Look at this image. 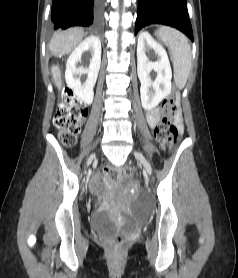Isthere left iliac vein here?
<instances>
[{
    "instance_id": "4c4485c4",
    "label": "left iliac vein",
    "mask_w": 238,
    "mask_h": 278,
    "mask_svg": "<svg viewBox=\"0 0 238 278\" xmlns=\"http://www.w3.org/2000/svg\"><path fill=\"white\" fill-rule=\"evenodd\" d=\"M135 157L142 163L146 172L151 175L152 174V167L149 161L145 158V156L140 152H135Z\"/></svg>"
}]
</instances>
